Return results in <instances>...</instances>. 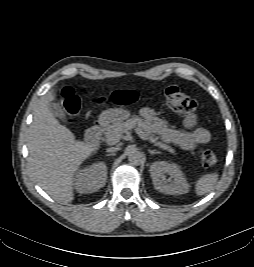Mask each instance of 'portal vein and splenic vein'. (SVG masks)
<instances>
[{"instance_id": "obj_1", "label": "portal vein and splenic vein", "mask_w": 254, "mask_h": 267, "mask_svg": "<svg viewBox=\"0 0 254 267\" xmlns=\"http://www.w3.org/2000/svg\"><path fill=\"white\" fill-rule=\"evenodd\" d=\"M135 130H136V133L139 135V137L141 139L146 140V136H145L144 132L141 129L136 128ZM119 140H120V136H116V137H112L109 140H107V143L109 145H112V144H116L117 142H119Z\"/></svg>"}]
</instances>
